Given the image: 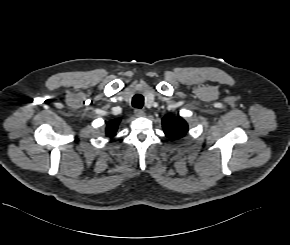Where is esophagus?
I'll return each mask as SVG.
<instances>
[{
  "mask_svg": "<svg viewBox=\"0 0 290 245\" xmlns=\"http://www.w3.org/2000/svg\"><path fill=\"white\" fill-rule=\"evenodd\" d=\"M134 114H135L136 117L145 116V112L142 109H135Z\"/></svg>",
  "mask_w": 290,
  "mask_h": 245,
  "instance_id": "1",
  "label": "esophagus"
}]
</instances>
